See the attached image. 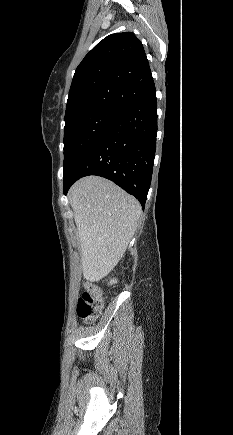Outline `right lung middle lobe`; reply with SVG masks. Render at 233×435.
Returning <instances> with one entry per match:
<instances>
[{"label": "right lung middle lobe", "mask_w": 233, "mask_h": 435, "mask_svg": "<svg viewBox=\"0 0 233 435\" xmlns=\"http://www.w3.org/2000/svg\"><path fill=\"white\" fill-rule=\"evenodd\" d=\"M120 113L113 108H97L65 120L63 178Z\"/></svg>", "instance_id": "obj_1"}]
</instances>
